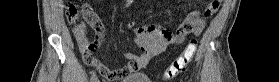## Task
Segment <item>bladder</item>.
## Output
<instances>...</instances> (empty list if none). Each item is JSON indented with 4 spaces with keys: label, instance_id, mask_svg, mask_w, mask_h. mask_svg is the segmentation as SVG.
Instances as JSON below:
<instances>
[{
    "label": "bladder",
    "instance_id": "1",
    "mask_svg": "<svg viewBox=\"0 0 279 82\" xmlns=\"http://www.w3.org/2000/svg\"><path fill=\"white\" fill-rule=\"evenodd\" d=\"M116 82H149V79L145 73H131Z\"/></svg>",
    "mask_w": 279,
    "mask_h": 82
}]
</instances>
